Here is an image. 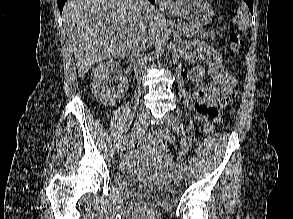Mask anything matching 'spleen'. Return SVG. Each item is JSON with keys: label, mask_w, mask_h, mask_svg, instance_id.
Masks as SVG:
<instances>
[{"label": "spleen", "mask_w": 293, "mask_h": 219, "mask_svg": "<svg viewBox=\"0 0 293 219\" xmlns=\"http://www.w3.org/2000/svg\"><path fill=\"white\" fill-rule=\"evenodd\" d=\"M237 21L239 30L246 32L249 28V17L243 6H240L237 10Z\"/></svg>", "instance_id": "obj_1"}]
</instances>
